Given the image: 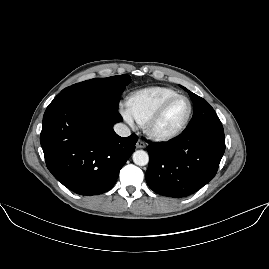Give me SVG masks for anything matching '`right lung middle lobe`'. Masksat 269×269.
<instances>
[{
	"mask_svg": "<svg viewBox=\"0 0 269 269\" xmlns=\"http://www.w3.org/2000/svg\"><path fill=\"white\" fill-rule=\"evenodd\" d=\"M130 81L131 77L126 74L107 78H94L66 87L58 95H77L118 107L120 96Z\"/></svg>",
	"mask_w": 269,
	"mask_h": 269,
	"instance_id": "1",
	"label": "right lung middle lobe"
}]
</instances>
